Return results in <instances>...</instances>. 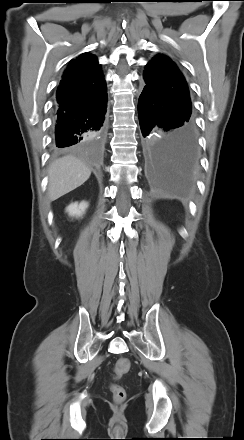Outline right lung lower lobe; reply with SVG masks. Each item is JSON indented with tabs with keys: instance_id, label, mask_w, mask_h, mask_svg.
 I'll return each instance as SVG.
<instances>
[{
	"instance_id": "right-lung-lower-lobe-1",
	"label": "right lung lower lobe",
	"mask_w": 244,
	"mask_h": 440,
	"mask_svg": "<svg viewBox=\"0 0 244 440\" xmlns=\"http://www.w3.org/2000/svg\"><path fill=\"white\" fill-rule=\"evenodd\" d=\"M107 93L82 105L55 108V146L70 147L100 139L105 131Z\"/></svg>"
}]
</instances>
